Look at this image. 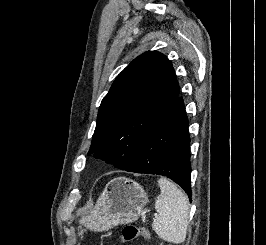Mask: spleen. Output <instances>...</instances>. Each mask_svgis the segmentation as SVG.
Listing matches in <instances>:
<instances>
[{"mask_svg":"<svg viewBox=\"0 0 266 245\" xmlns=\"http://www.w3.org/2000/svg\"><path fill=\"white\" fill-rule=\"evenodd\" d=\"M158 185L161 193L155 201L158 215L152 223V229L163 241L180 245L186 239L189 219L188 199L165 177L159 179Z\"/></svg>","mask_w":266,"mask_h":245,"instance_id":"spleen-1","label":"spleen"}]
</instances>
